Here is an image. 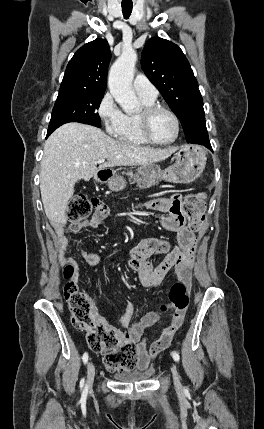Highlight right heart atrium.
Segmentation results:
<instances>
[{"mask_svg": "<svg viewBox=\"0 0 264 429\" xmlns=\"http://www.w3.org/2000/svg\"><path fill=\"white\" fill-rule=\"evenodd\" d=\"M96 111L106 132L110 135H116L123 125L125 114L121 111L111 93L106 92L102 96Z\"/></svg>", "mask_w": 264, "mask_h": 429, "instance_id": "1", "label": "right heart atrium"}]
</instances>
